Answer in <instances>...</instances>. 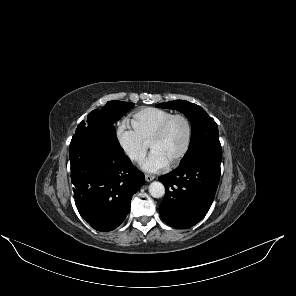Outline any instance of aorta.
I'll use <instances>...</instances> for the list:
<instances>
[{"instance_id":"aorta-1","label":"aorta","mask_w":296,"mask_h":296,"mask_svg":"<svg viewBox=\"0 0 296 296\" xmlns=\"http://www.w3.org/2000/svg\"><path fill=\"white\" fill-rule=\"evenodd\" d=\"M149 193L154 198H161L165 194V187L161 182L154 181L149 185Z\"/></svg>"}]
</instances>
